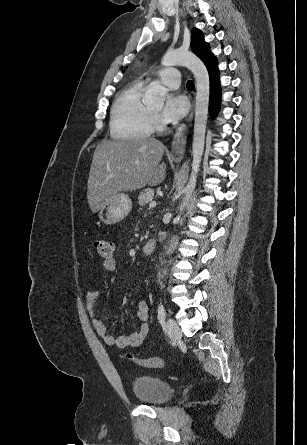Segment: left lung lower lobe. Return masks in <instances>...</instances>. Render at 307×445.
Segmentation results:
<instances>
[{
	"instance_id": "left-lung-lower-lobe-1",
	"label": "left lung lower lobe",
	"mask_w": 307,
	"mask_h": 445,
	"mask_svg": "<svg viewBox=\"0 0 307 445\" xmlns=\"http://www.w3.org/2000/svg\"><path fill=\"white\" fill-rule=\"evenodd\" d=\"M206 67L210 77V112L212 115H215L218 111L220 102V85L217 60L213 59L206 65Z\"/></svg>"
}]
</instances>
